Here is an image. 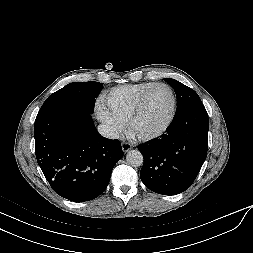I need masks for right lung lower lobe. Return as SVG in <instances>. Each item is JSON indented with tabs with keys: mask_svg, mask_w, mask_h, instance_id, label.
<instances>
[{
	"mask_svg": "<svg viewBox=\"0 0 253 253\" xmlns=\"http://www.w3.org/2000/svg\"><path fill=\"white\" fill-rule=\"evenodd\" d=\"M34 137L37 162L50 186L75 202L99 196L124 155L120 141L99 135L90 113L83 111L40 110Z\"/></svg>",
	"mask_w": 253,
	"mask_h": 253,
	"instance_id": "obj_1",
	"label": "right lung lower lobe"
}]
</instances>
